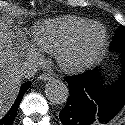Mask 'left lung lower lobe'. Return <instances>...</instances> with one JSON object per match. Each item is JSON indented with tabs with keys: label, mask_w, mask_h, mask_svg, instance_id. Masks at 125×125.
Here are the masks:
<instances>
[{
	"label": "left lung lower lobe",
	"mask_w": 125,
	"mask_h": 125,
	"mask_svg": "<svg viewBox=\"0 0 125 125\" xmlns=\"http://www.w3.org/2000/svg\"><path fill=\"white\" fill-rule=\"evenodd\" d=\"M111 49L116 46L111 42ZM122 75L110 88L100 81L97 68L81 75L65 78L69 98L60 111L63 125H100L115 117L125 104V52H121Z\"/></svg>",
	"instance_id": "1"
}]
</instances>
